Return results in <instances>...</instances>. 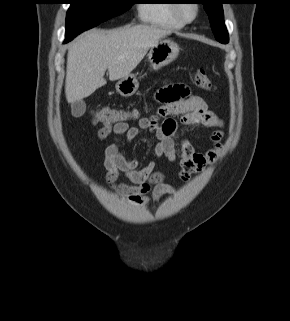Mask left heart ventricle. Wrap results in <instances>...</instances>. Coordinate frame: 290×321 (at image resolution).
I'll use <instances>...</instances> for the list:
<instances>
[{"mask_svg":"<svg viewBox=\"0 0 290 321\" xmlns=\"http://www.w3.org/2000/svg\"><path fill=\"white\" fill-rule=\"evenodd\" d=\"M183 13L187 18H191L194 15V9H193L192 5L185 4L183 6Z\"/></svg>","mask_w":290,"mask_h":321,"instance_id":"1","label":"left heart ventricle"}]
</instances>
